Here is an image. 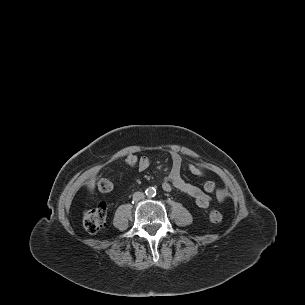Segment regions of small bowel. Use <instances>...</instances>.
<instances>
[{"instance_id":"1","label":"small bowel","mask_w":305,"mask_h":305,"mask_svg":"<svg viewBox=\"0 0 305 305\" xmlns=\"http://www.w3.org/2000/svg\"><path fill=\"white\" fill-rule=\"evenodd\" d=\"M170 156L172 159V166L169 174L162 181V188L165 191H171L173 188L180 190L183 193L191 196L196 204L201 208H207L210 205L211 197L210 194L216 192V196L219 201H223L227 194L223 189L217 188L213 181H206L203 188L186 181L181 174L183 167V158L181 154L175 150H170ZM150 166V160L142 156L138 168L140 171L146 170ZM189 170L192 174L196 176H202L211 169L196 163L189 164Z\"/></svg>"}]
</instances>
